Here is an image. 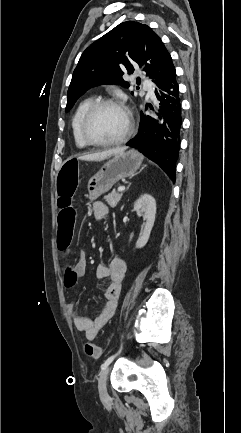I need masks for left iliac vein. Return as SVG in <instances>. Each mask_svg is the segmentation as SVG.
<instances>
[{"label": "left iliac vein", "instance_id": "obj_1", "mask_svg": "<svg viewBox=\"0 0 241 433\" xmlns=\"http://www.w3.org/2000/svg\"><path fill=\"white\" fill-rule=\"evenodd\" d=\"M109 374V367H106L99 378L98 382V389H99V395L101 400L107 401L109 399L108 393H107V377Z\"/></svg>", "mask_w": 241, "mask_h": 433}]
</instances>
